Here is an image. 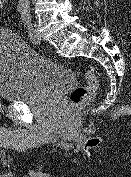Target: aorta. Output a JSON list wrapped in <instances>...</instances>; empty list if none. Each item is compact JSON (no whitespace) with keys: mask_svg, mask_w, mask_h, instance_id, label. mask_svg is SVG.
Here are the masks:
<instances>
[{"mask_svg":"<svg viewBox=\"0 0 131 177\" xmlns=\"http://www.w3.org/2000/svg\"><path fill=\"white\" fill-rule=\"evenodd\" d=\"M20 1H28V0H20Z\"/></svg>","mask_w":131,"mask_h":177,"instance_id":"1","label":"aorta"}]
</instances>
